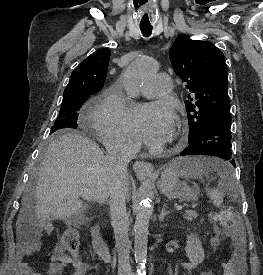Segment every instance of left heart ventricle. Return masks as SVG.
<instances>
[{"label":"left heart ventricle","mask_w":263,"mask_h":275,"mask_svg":"<svg viewBox=\"0 0 263 275\" xmlns=\"http://www.w3.org/2000/svg\"><path fill=\"white\" fill-rule=\"evenodd\" d=\"M174 136H175V130L173 129L172 131H171V133L169 134V136H168V138H167V140L166 141H170V140H172L173 138H174Z\"/></svg>","instance_id":"b2bd125f"}]
</instances>
